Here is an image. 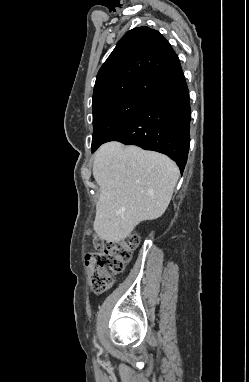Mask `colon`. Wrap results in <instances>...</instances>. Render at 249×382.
I'll use <instances>...</instances> for the list:
<instances>
[{
  "label": "colon",
  "mask_w": 249,
  "mask_h": 382,
  "mask_svg": "<svg viewBox=\"0 0 249 382\" xmlns=\"http://www.w3.org/2000/svg\"><path fill=\"white\" fill-rule=\"evenodd\" d=\"M94 251L86 254L85 263L90 270V286L94 293L101 294L113 283V276L120 274L139 245V237L131 234L119 242L106 244L93 237Z\"/></svg>",
  "instance_id": "5ec220e1"
}]
</instances>
